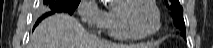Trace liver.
Masks as SVG:
<instances>
[{
    "mask_svg": "<svg viewBox=\"0 0 213 48\" xmlns=\"http://www.w3.org/2000/svg\"><path fill=\"white\" fill-rule=\"evenodd\" d=\"M99 39L89 33L79 21L67 14H55L44 19L34 30L29 48H144Z\"/></svg>",
    "mask_w": 213,
    "mask_h": 48,
    "instance_id": "6515ba94",
    "label": "liver"
}]
</instances>
